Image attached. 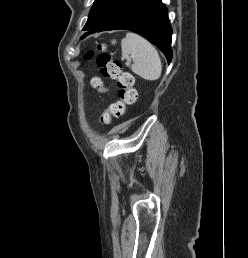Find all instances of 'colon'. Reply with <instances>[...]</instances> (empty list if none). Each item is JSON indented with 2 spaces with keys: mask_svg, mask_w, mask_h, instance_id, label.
<instances>
[{
  "mask_svg": "<svg viewBox=\"0 0 248 258\" xmlns=\"http://www.w3.org/2000/svg\"><path fill=\"white\" fill-rule=\"evenodd\" d=\"M106 46L107 43L102 42L99 43L97 47L98 50L103 51ZM92 57V52L86 54V59H91ZM96 65L103 77L117 81L118 99L113 102L99 118L103 125H107L112 118H121L124 116L127 106L136 102L137 92L134 88V78L132 74L123 70L120 60L102 52L96 57ZM91 85L98 92L105 93L107 91L100 77L92 78Z\"/></svg>",
  "mask_w": 248,
  "mask_h": 258,
  "instance_id": "colon-1",
  "label": "colon"
}]
</instances>
